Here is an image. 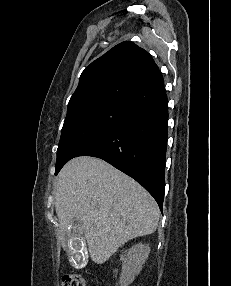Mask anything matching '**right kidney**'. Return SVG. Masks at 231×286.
Here are the masks:
<instances>
[{"instance_id": "ca27d5eb", "label": "right kidney", "mask_w": 231, "mask_h": 286, "mask_svg": "<svg viewBox=\"0 0 231 286\" xmlns=\"http://www.w3.org/2000/svg\"><path fill=\"white\" fill-rule=\"evenodd\" d=\"M149 253L150 247L140 243L129 249L126 255L121 256L123 264L120 286H128L134 281L135 276L142 270V265L147 260Z\"/></svg>"}]
</instances>
